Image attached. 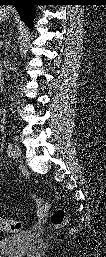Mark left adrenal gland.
<instances>
[{"label":"left adrenal gland","mask_w":106,"mask_h":257,"mask_svg":"<svg viewBox=\"0 0 106 257\" xmlns=\"http://www.w3.org/2000/svg\"><path fill=\"white\" fill-rule=\"evenodd\" d=\"M5 47H6V50H9V47H10L9 42H6Z\"/></svg>","instance_id":"obj_1"}]
</instances>
